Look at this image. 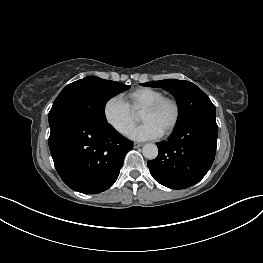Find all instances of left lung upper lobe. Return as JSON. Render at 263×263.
Returning <instances> with one entry per match:
<instances>
[{"label": "left lung upper lobe", "mask_w": 263, "mask_h": 263, "mask_svg": "<svg viewBox=\"0 0 263 263\" xmlns=\"http://www.w3.org/2000/svg\"><path fill=\"white\" fill-rule=\"evenodd\" d=\"M143 86L162 87L170 92L179 106L177 126L194 119L216 116L215 106L196 85L185 80L167 79L142 83Z\"/></svg>", "instance_id": "obj_1"}]
</instances>
